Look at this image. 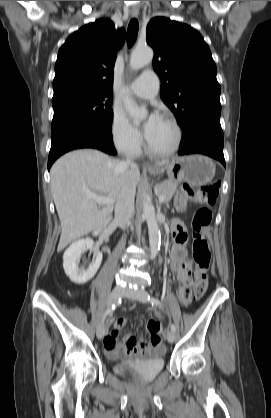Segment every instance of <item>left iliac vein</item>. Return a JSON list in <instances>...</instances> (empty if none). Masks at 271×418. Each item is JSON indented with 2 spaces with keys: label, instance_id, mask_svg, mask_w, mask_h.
I'll use <instances>...</instances> for the list:
<instances>
[{
  "label": "left iliac vein",
  "instance_id": "left-iliac-vein-1",
  "mask_svg": "<svg viewBox=\"0 0 271 418\" xmlns=\"http://www.w3.org/2000/svg\"><path fill=\"white\" fill-rule=\"evenodd\" d=\"M123 295L130 299H135L143 303L147 302V292L142 289H125L123 291ZM167 340L170 343H173L175 341V334L173 331L169 330L167 332Z\"/></svg>",
  "mask_w": 271,
  "mask_h": 418
}]
</instances>
